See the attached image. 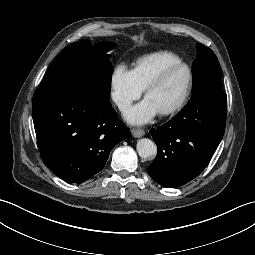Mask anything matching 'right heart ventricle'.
Returning <instances> with one entry per match:
<instances>
[{
	"instance_id": "e07e8e85",
	"label": "right heart ventricle",
	"mask_w": 255,
	"mask_h": 255,
	"mask_svg": "<svg viewBox=\"0 0 255 255\" xmlns=\"http://www.w3.org/2000/svg\"><path fill=\"white\" fill-rule=\"evenodd\" d=\"M177 61H180L179 57L171 51H156L140 57L132 71L142 88H145L166 65Z\"/></svg>"
}]
</instances>
